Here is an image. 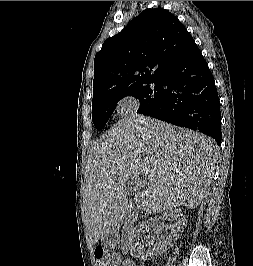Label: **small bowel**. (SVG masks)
<instances>
[{
  "mask_svg": "<svg viewBox=\"0 0 253 266\" xmlns=\"http://www.w3.org/2000/svg\"><path fill=\"white\" fill-rule=\"evenodd\" d=\"M122 266H135V263L133 261L127 260L122 262Z\"/></svg>",
  "mask_w": 253,
  "mask_h": 266,
  "instance_id": "1",
  "label": "small bowel"
}]
</instances>
